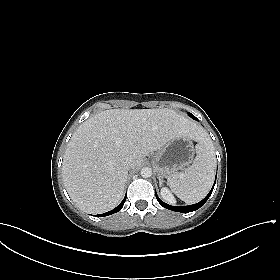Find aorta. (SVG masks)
<instances>
[{
	"instance_id": "1",
	"label": "aorta",
	"mask_w": 280,
	"mask_h": 280,
	"mask_svg": "<svg viewBox=\"0 0 280 280\" xmlns=\"http://www.w3.org/2000/svg\"><path fill=\"white\" fill-rule=\"evenodd\" d=\"M151 175H152V170H151V168H149V167H144V168H142V170H141V176H142L143 178H149V177H151Z\"/></svg>"
}]
</instances>
